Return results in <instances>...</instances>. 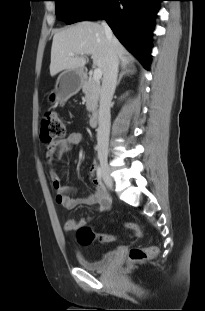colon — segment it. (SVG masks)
I'll list each match as a JSON object with an SVG mask.
<instances>
[{"mask_svg": "<svg viewBox=\"0 0 205 311\" xmlns=\"http://www.w3.org/2000/svg\"><path fill=\"white\" fill-rule=\"evenodd\" d=\"M66 125L64 120L56 113H47L41 120L40 139L42 144L49 148L54 143L62 140L65 137ZM49 157V152H46ZM124 228L133 233L140 235V228L135 223H125ZM77 241L82 246H87L95 241L100 243H110L115 240V236L111 234H97L93 228L87 224L80 225L76 230ZM157 254L156 247L140 248L133 247L129 250L126 265L132 266L143 263Z\"/></svg>", "mask_w": 205, "mask_h": 311, "instance_id": "5ec220e1", "label": "colon"}]
</instances>
